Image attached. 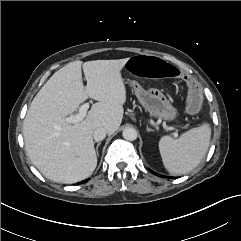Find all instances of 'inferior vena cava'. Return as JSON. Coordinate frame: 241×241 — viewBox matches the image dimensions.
Here are the masks:
<instances>
[{"instance_id": "602c4592", "label": "inferior vena cava", "mask_w": 241, "mask_h": 241, "mask_svg": "<svg viewBox=\"0 0 241 241\" xmlns=\"http://www.w3.org/2000/svg\"><path fill=\"white\" fill-rule=\"evenodd\" d=\"M106 129L103 127H98L93 132V137L96 142L103 140L106 137Z\"/></svg>"}]
</instances>
